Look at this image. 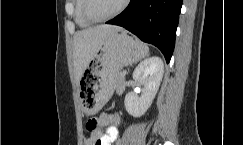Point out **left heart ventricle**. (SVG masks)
<instances>
[{
	"label": "left heart ventricle",
	"mask_w": 243,
	"mask_h": 145,
	"mask_svg": "<svg viewBox=\"0 0 243 145\" xmlns=\"http://www.w3.org/2000/svg\"><path fill=\"white\" fill-rule=\"evenodd\" d=\"M123 0H91L90 12L95 18L106 17L115 12Z\"/></svg>",
	"instance_id": "b2bd125f"
}]
</instances>
